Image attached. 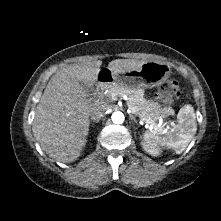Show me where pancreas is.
<instances>
[{
    "instance_id": "obj_1",
    "label": "pancreas",
    "mask_w": 221,
    "mask_h": 221,
    "mask_svg": "<svg viewBox=\"0 0 221 221\" xmlns=\"http://www.w3.org/2000/svg\"><path fill=\"white\" fill-rule=\"evenodd\" d=\"M106 96L109 100H113V97L127 96L126 103L132 113L136 114L146 123L152 124L158 131L164 130V126L159 127L156 123L162 112H160L156 103L144 98V91L142 89L132 90L119 84H114L109 87Z\"/></svg>"
}]
</instances>
